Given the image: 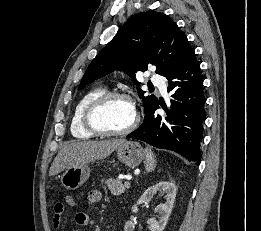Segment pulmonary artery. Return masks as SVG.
<instances>
[{"mask_svg":"<svg viewBox=\"0 0 261 231\" xmlns=\"http://www.w3.org/2000/svg\"><path fill=\"white\" fill-rule=\"evenodd\" d=\"M152 83L156 86H158L163 93L166 94L167 92V86L165 82V78L159 74H154L152 76Z\"/></svg>","mask_w":261,"mask_h":231,"instance_id":"1","label":"pulmonary artery"}]
</instances>
